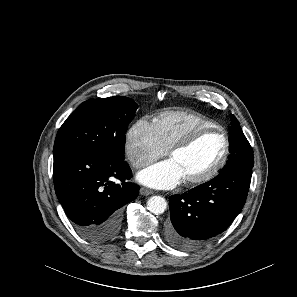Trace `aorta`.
I'll list each match as a JSON object with an SVG mask.
<instances>
[{"label": "aorta", "instance_id": "762f6f07", "mask_svg": "<svg viewBox=\"0 0 297 297\" xmlns=\"http://www.w3.org/2000/svg\"><path fill=\"white\" fill-rule=\"evenodd\" d=\"M166 207L167 202L161 196H152L147 202L148 210L155 215L162 214L166 210Z\"/></svg>", "mask_w": 297, "mask_h": 297}]
</instances>
